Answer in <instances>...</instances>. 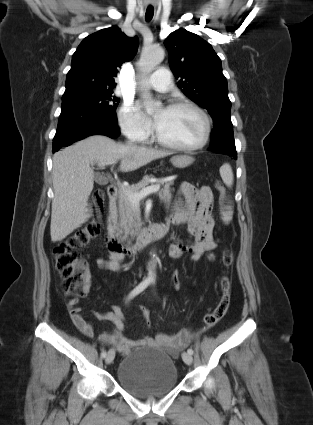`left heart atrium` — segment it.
<instances>
[{"mask_svg": "<svg viewBox=\"0 0 313 425\" xmlns=\"http://www.w3.org/2000/svg\"><path fill=\"white\" fill-rule=\"evenodd\" d=\"M160 121H161V116L157 115L154 119V125H155L156 128L158 127Z\"/></svg>", "mask_w": 313, "mask_h": 425, "instance_id": "obj_1", "label": "left heart atrium"}]
</instances>
